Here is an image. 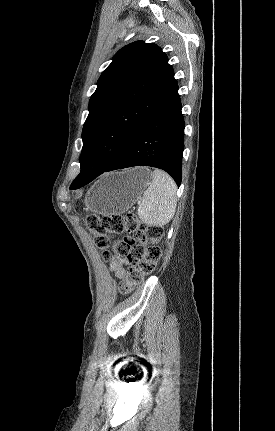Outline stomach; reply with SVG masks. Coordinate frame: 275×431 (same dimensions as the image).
<instances>
[{
    "instance_id": "0dacf381",
    "label": "stomach",
    "mask_w": 275,
    "mask_h": 431,
    "mask_svg": "<svg viewBox=\"0 0 275 431\" xmlns=\"http://www.w3.org/2000/svg\"><path fill=\"white\" fill-rule=\"evenodd\" d=\"M151 178V171L144 167L106 174L86 195L85 206L97 214H121L141 197Z\"/></svg>"
}]
</instances>
